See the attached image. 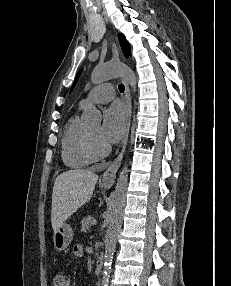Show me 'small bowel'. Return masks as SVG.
<instances>
[{
    "mask_svg": "<svg viewBox=\"0 0 231 286\" xmlns=\"http://www.w3.org/2000/svg\"><path fill=\"white\" fill-rule=\"evenodd\" d=\"M83 247L81 245H76L73 247V250H72V254L77 257V258H80L83 256Z\"/></svg>",
    "mask_w": 231,
    "mask_h": 286,
    "instance_id": "obj_1",
    "label": "small bowel"
}]
</instances>
